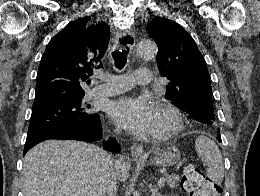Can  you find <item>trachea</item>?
Here are the masks:
<instances>
[{"label": "trachea", "instance_id": "trachea-1", "mask_svg": "<svg viewBox=\"0 0 260 196\" xmlns=\"http://www.w3.org/2000/svg\"><path fill=\"white\" fill-rule=\"evenodd\" d=\"M119 44L123 47L122 49H115L112 52V57L115 62L116 68L118 70H122L127 62L129 48L127 46L126 37H122L119 39Z\"/></svg>", "mask_w": 260, "mask_h": 196}]
</instances>
